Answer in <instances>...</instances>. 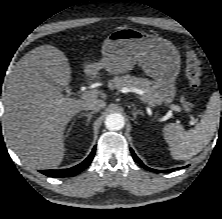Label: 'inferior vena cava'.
<instances>
[{"mask_svg": "<svg viewBox=\"0 0 222 219\" xmlns=\"http://www.w3.org/2000/svg\"><path fill=\"white\" fill-rule=\"evenodd\" d=\"M104 103L101 100H94L87 103L83 109L84 110H93L94 112H98L101 108H103Z\"/></svg>", "mask_w": 222, "mask_h": 219, "instance_id": "inferior-vena-cava-1", "label": "inferior vena cava"}]
</instances>
